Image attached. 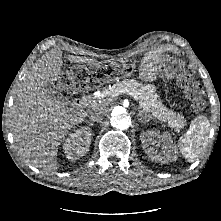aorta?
I'll return each instance as SVG.
<instances>
[{
	"mask_svg": "<svg viewBox=\"0 0 221 221\" xmlns=\"http://www.w3.org/2000/svg\"><path fill=\"white\" fill-rule=\"evenodd\" d=\"M110 122L112 127L119 130H125L131 125V117L126 113L124 108L116 107L112 111Z\"/></svg>",
	"mask_w": 221,
	"mask_h": 221,
	"instance_id": "762f6f07",
	"label": "aorta"
}]
</instances>
